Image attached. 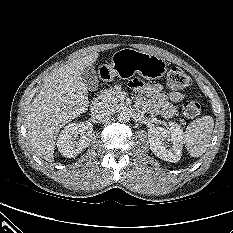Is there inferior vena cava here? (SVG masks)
Returning a JSON list of instances; mask_svg holds the SVG:
<instances>
[{
    "label": "inferior vena cava",
    "mask_w": 233,
    "mask_h": 233,
    "mask_svg": "<svg viewBox=\"0 0 233 233\" xmlns=\"http://www.w3.org/2000/svg\"><path fill=\"white\" fill-rule=\"evenodd\" d=\"M113 114V109L106 103H98L91 110L94 119H106Z\"/></svg>",
    "instance_id": "inferior-vena-cava-1"
}]
</instances>
